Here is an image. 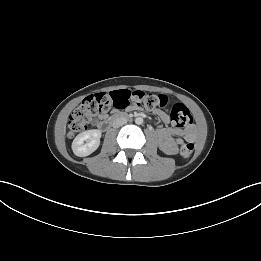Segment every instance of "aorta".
I'll list each match as a JSON object with an SVG mask.
<instances>
[{"instance_id":"aorta-1","label":"aorta","mask_w":261,"mask_h":261,"mask_svg":"<svg viewBox=\"0 0 261 261\" xmlns=\"http://www.w3.org/2000/svg\"><path fill=\"white\" fill-rule=\"evenodd\" d=\"M135 123L138 124V125H141V124L143 123V118L137 117V118L135 119Z\"/></svg>"}]
</instances>
